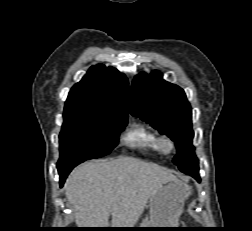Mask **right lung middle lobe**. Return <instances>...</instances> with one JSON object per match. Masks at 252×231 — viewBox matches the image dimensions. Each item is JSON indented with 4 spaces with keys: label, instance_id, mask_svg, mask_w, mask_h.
Returning <instances> with one entry per match:
<instances>
[{
    "label": "right lung middle lobe",
    "instance_id": "obj_1",
    "mask_svg": "<svg viewBox=\"0 0 252 231\" xmlns=\"http://www.w3.org/2000/svg\"><path fill=\"white\" fill-rule=\"evenodd\" d=\"M127 116L81 109L64 110L58 170L107 155L118 143Z\"/></svg>",
    "mask_w": 252,
    "mask_h": 231
}]
</instances>
